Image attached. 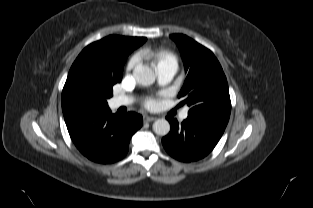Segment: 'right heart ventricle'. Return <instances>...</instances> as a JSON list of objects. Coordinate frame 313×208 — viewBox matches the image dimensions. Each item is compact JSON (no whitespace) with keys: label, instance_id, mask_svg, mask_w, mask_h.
Segmentation results:
<instances>
[{"label":"right heart ventricle","instance_id":"obj_1","mask_svg":"<svg viewBox=\"0 0 313 208\" xmlns=\"http://www.w3.org/2000/svg\"><path fill=\"white\" fill-rule=\"evenodd\" d=\"M146 56L152 60L156 68L168 63L177 65L176 57L172 53L165 50H154L151 52L146 51Z\"/></svg>","mask_w":313,"mask_h":208}]
</instances>
